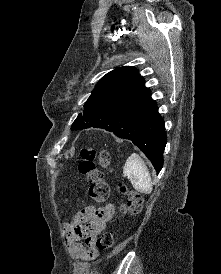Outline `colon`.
Masks as SVG:
<instances>
[{
    "label": "colon",
    "instance_id": "5ec220e1",
    "mask_svg": "<svg viewBox=\"0 0 221 274\" xmlns=\"http://www.w3.org/2000/svg\"><path fill=\"white\" fill-rule=\"evenodd\" d=\"M97 151L92 148H84L80 152L79 172L84 175L89 182L88 195L91 199L101 202L108 198L110 194L109 184L104 178L103 172L95 162ZM99 165L108 168L111 162L110 153L103 149L98 153ZM119 190L126 195V200L121 204L120 210L123 214H138L143 205L141 195L130 192L123 184L119 185ZM116 235L112 231H104L96 241V247L100 250L110 249L115 243Z\"/></svg>",
    "mask_w": 221,
    "mask_h": 274
}]
</instances>
